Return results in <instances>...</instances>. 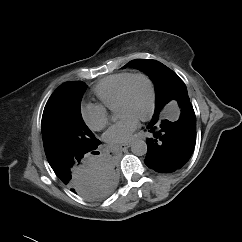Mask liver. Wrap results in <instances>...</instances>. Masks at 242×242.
Masks as SVG:
<instances>
[{
    "label": "liver",
    "mask_w": 242,
    "mask_h": 242,
    "mask_svg": "<svg viewBox=\"0 0 242 242\" xmlns=\"http://www.w3.org/2000/svg\"><path fill=\"white\" fill-rule=\"evenodd\" d=\"M105 184L106 182L99 180L98 176L96 179L84 184V186L77 193L86 198L98 197L102 193Z\"/></svg>",
    "instance_id": "1"
}]
</instances>
